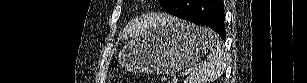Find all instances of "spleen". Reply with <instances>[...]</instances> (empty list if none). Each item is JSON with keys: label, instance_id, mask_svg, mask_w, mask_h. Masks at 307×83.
<instances>
[{"label": "spleen", "instance_id": "obj_1", "mask_svg": "<svg viewBox=\"0 0 307 83\" xmlns=\"http://www.w3.org/2000/svg\"><path fill=\"white\" fill-rule=\"evenodd\" d=\"M207 34L212 44L207 62L194 68L184 83H210L220 77L226 68V52L218 36L209 29H207Z\"/></svg>", "mask_w": 307, "mask_h": 83}]
</instances>
